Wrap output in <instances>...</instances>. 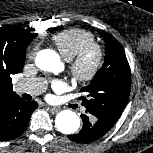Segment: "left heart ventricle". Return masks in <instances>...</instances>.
Listing matches in <instances>:
<instances>
[{
    "instance_id": "obj_1",
    "label": "left heart ventricle",
    "mask_w": 153,
    "mask_h": 153,
    "mask_svg": "<svg viewBox=\"0 0 153 153\" xmlns=\"http://www.w3.org/2000/svg\"><path fill=\"white\" fill-rule=\"evenodd\" d=\"M92 60H93V55H91V56L88 58L86 65L89 66V65L91 64Z\"/></svg>"
}]
</instances>
